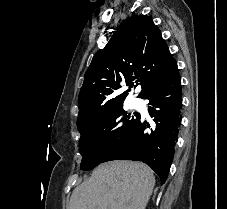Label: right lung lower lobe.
I'll return each mask as SVG.
<instances>
[{"mask_svg":"<svg viewBox=\"0 0 227 209\" xmlns=\"http://www.w3.org/2000/svg\"><path fill=\"white\" fill-rule=\"evenodd\" d=\"M143 99L149 100V114L154 117V125L138 114L127 133L120 138L103 157L101 163L111 160L142 161L159 176L161 185L168 177L169 167L174 157V146L178 138L182 107L181 79L177 63L169 67H157L153 72L160 74Z\"/></svg>","mask_w":227,"mask_h":209,"instance_id":"98d812e1","label":"right lung lower lobe"}]
</instances>
